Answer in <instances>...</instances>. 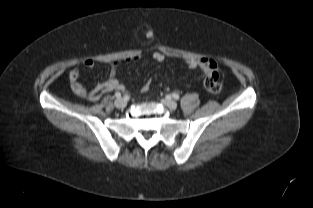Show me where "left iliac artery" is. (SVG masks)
<instances>
[{
	"mask_svg": "<svg viewBox=\"0 0 313 208\" xmlns=\"http://www.w3.org/2000/svg\"><path fill=\"white\" fill-rule=\"evenodd\" d=\"M172 97L175 99V100H179V95L178 94H176V93H173L172 94Z\"/></svg>",
	"mask_w": 313,
	"mask_h": 208,
	"instance_id": "left-iliac-artery-1",
	"label": "left iliac artery"
}]
</instances>
